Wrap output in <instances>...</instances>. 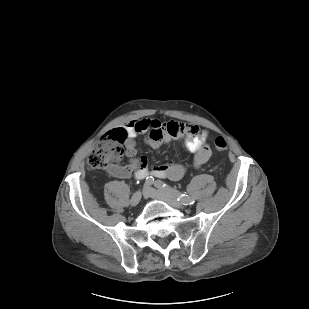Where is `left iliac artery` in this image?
I'll use <instances>...</instances> for the list:
<instances>
[{"mask_svg": "<svg viewBox=\"0 0 309 309\" xmlns=\"http://www.w3.org/2000/svg\"><path fill=\"white\" fill-rule=\"evenodd\" d=\"M155 187L163 190L167 194L175 197L178 201H180L183 205H191L194 203V199L190 196L180 193L178 190L172 188L168 184L164 183L161 180H156L154 183Z\"/></svg>", "mask_w": 309, "mask_h": 309, "instance_id": "44dca946", "label": "left iliac artery"}]
</instances>
